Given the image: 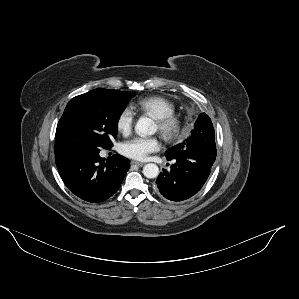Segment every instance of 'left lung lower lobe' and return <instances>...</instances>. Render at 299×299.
<instances>
[{
	"instance_id": "obj_1",
	"label": "left lung lower lobe",
	"mask_w": 299,
	"mask_h": 299,
	"mask_svg": "<svg viewBox=\"0 0 299 299\" xmlns=\"http://www.w3.org/2000/svg\"><path fill=\"white\" fill-rule=\"evenodd\" d=\"M169 171L163 169L156 180L155 191L171 201H183L195 195L206 182L212 161L203 152L179 153Z\"/></svg>"
}]
</instances>
